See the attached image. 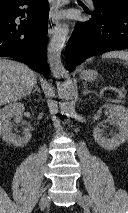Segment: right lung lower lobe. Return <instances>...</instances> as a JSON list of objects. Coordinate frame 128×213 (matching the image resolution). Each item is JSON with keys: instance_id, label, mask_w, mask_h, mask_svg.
Segmentation results:
<instances>
[{"instance_id": "1", "label": "right lung lower lobe", "mask_w": 128, "mask_h": 213, "mask_svg": "<svg viewBox=\"0 0 128 213\" xmlns=\"http://www.w3.org/2000/svg\"><path fill=\"white\" fill-rule=\"evenodd\" d=\"M27 6V9H21ZM47 0H14L0 3V57H12L49 75L46 63ZM17 17H27L20 23Z\"/></svg>"}]
</instances>
